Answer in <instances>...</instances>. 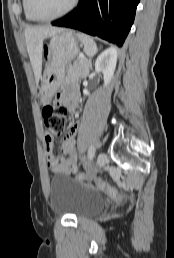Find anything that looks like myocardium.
I'll return each mask as SVG.
<instances>
[{"label":"myocardium","mask_w":174,"mask_h":258,"mask_svg":"<svg viewBox=\"0 0 174 258\" xmlns=\"http://www.w3.org/2000/svg\"><path fill=\"white\" fill-rule=\"evenodd\" d=\"M78 1L79 0H72L70 5L66 9H64L62 12H60L56 15H53V16H48V17H41V16H38L37 14H35L32 9V6H31V0H26V8H27L28 13L34 20L42 21V22H49V21H53V20H56V19H59L61 17L68 15L76 7Z\"/></svg>","instance_id":"obj_1"}]
</instances>
